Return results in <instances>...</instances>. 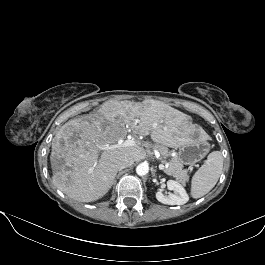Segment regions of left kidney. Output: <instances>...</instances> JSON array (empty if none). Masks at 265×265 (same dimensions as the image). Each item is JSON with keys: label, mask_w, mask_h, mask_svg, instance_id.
Wrapping results in <instances>:
<instances>
[{"label": "left kidney", "mask_w": 265, "mask_h": 265, "mask_svg": "<svg viewBox=\"0 0 265 265\" xmlns=\"http://www.w3.org/2000/svg\"><path fill=\"white\" fill-rule=\"evenodd\" d=\"M167 187L169 190L174 191V193L164 195L161 191H158L156 193V199L159 202L168 205H183L189 200L186 190L177 181L168 180Z\"/></svg>", "instance_id": "obj_1"}]
</instances>
